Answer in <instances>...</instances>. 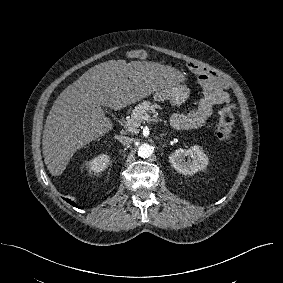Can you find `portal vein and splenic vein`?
Segmentation results:
<instances>
[{
    "label": "portal vein and splenic vein",
    "instance_id": "obj_1",
    "mask_svg": "<svg viewBox=\"0 0 283 283\" xmlns=\"http://www.w3.org/2000/svg\"><path fill=\"white\" fill-rule=\"evenodd\" d=\"M141 120H145V121H147V122H150V121H151V118H150L148 115H143V116L141 117Z\"/></svg>",
    "mask_w": 283,
    "mask_h": 283
}]
</instances>
